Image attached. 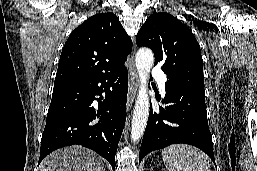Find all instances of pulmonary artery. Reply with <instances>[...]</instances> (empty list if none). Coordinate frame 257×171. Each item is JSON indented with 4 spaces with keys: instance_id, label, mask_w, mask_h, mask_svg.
Returning <instances> with one entry per match:
<instances>
[{
    "instance_id": "e3ab8cb5",
    "label": "pulmonary artery",
    "mask_w": 257,
    "mask_h": 171,
    "mask_svg": "<svg viewBox=\"0 0 257 171\" xmlns=\"http://www.w3.org/2000/svg\"><path fill=\"white\" fill-rule=\"evenodd\" d=\"M152 76L157 79L159 88L162 93L165 92L166 75L157 67L152 70Z\"/></svg>"
}]
</instances>
